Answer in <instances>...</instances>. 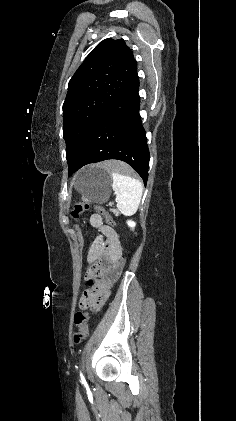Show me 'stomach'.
Masks as SVG:
<instances>
[{
  "label": "stomach",
  "mask_w": 236,
  "mask_h": 421,
  "mask_svg": "<svg viewBox=\"0 0 236 421\" xmlns=\"http://www.w3.org/2000/svg\"><path fill=\"white\" fill-rule=\"evenodd\" d=\"M112 180V174L108 170L97 164H90L78 172L75 186L81 192L83 200L106 202L110 196Z\"/></svg>",
  "instance_id": "1"
}]
</instances>
